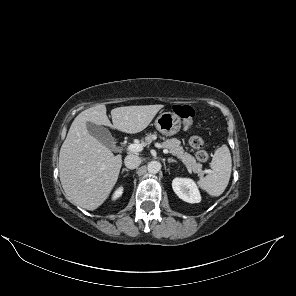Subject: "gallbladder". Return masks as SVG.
I'll list each match as a JSON object with an SVG mask.
<instances>
[{"label":"gallbladder","instance_id":"1","mask_svg":"<svg viewBox=\"0 0 296 296\" xmlns=\"http://www.w3.org/2000/svg\"><path fill=\"white\" fill-rule=\"evenodd\" d=\"M88 132L108 148H115V140L108 129L94 123H87Z\"/></svg>","mask_w":296,"mask_h":296}]
</instances>
